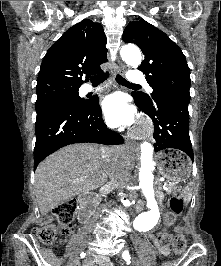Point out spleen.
Segmentation results:
<instances>
[{
    "label": "spleen",
    "instance_id": "spleen-1",
    "mask_svg": "<svg viewBox=\"0 0 221 266\" xmlns=\"http://www.w3.org/2000/svg\"><path fill=\"white\" fill-rule=\"evenodd\" d=\"M188 191H189V188L187 187V188L185 189V192H188ZM186 199H187V201H189V199H190V198H189V195L187 196Z\"/></svg>",
    "mask_w": 221,
    "mask_h": 266
}]
</instances>
